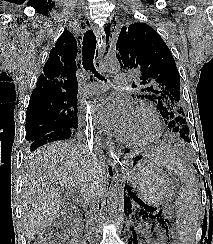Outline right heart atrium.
<instances>
[{
	"instance_id": "obj_1",
	"label": "right heart atrium",
	"mask_w": 213,
	"mask_h": 244,
	"mask_svg": "<svg viewBox=\"0 0 213 244\" xmlns=\"http://www.w3.org/2000/svg\"><path fill=\"white\" fill-rule=\"evenodd\" d=\"M78 133L80 135H84V136H87V137H91L93 135H96V134L101 133V130L95 128L94 125L92 124V122L88 118H85L79 124Z\"/></svg>"
}]
</instances>
